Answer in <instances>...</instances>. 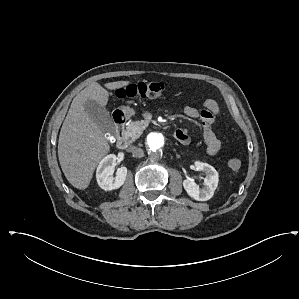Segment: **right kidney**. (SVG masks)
<instances>
[{"label": "right kidney", "instance_id": "right-kidney-1", "mask_svg": "<svg viewBox=\"0 0 299 299\" xmlns=\"http://www.w3.org/2000/svg\"><path fill=\"white\" fill-rule=\"evenodd\" d=\"M116 160V155L109 154L100 161L97 167V183L105 191L120 188L126 180V167L119 168L116 172V176H113Z\"/></svg>", "mask_w": 299, "mask_h": 299}]
</instances>
